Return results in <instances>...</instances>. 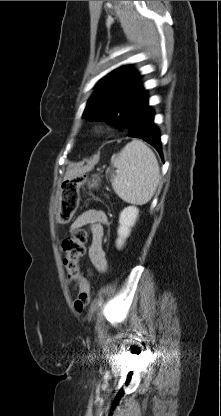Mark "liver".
Listing matches in <instances>:
<instances>
[{"label": "liver", "mask_w": 221, "mask_h": 416, "mask_svg": "<svg viewBox=\"0 0 221 416\" xmlns=\"http://www.w3.org/2000/svg\"><path fill=\"white\" fill-rule=\"evenodd\" d=\"M90 169V167L85 166V167H74V168H70L66 171L65 176H64V180L66 179H71L75 176L81 175L86 173L88 170Z\"/></svg>", "instance_id": "1"}]
</instances>
